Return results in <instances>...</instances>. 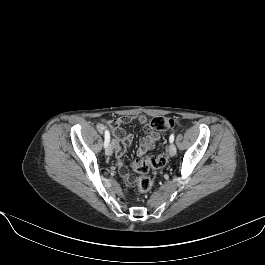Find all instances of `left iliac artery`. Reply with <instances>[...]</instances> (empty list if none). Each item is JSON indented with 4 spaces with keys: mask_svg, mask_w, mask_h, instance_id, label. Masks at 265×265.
<instances>
[{
    "mask_svg": "<svg viewBox=\"0 0 265 265\" xmlns=\"http://www.w3.org/2000/svg\"><path fill=\"white\" fill-rule=\"evenodd\" d=\"M169 140H170V143H173V141H174V134H171L170 135Z\"/></svg>",
    "mask_w": 265,
    "mask_h": 265,
    "instance_id": "44dca946",
    "label": "left iliac artery"
}]
</instances>
